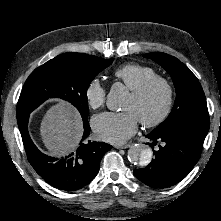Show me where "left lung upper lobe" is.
Instances as JSON below:
<instances>
[{
    "label": "left lung upper lobe",
    "instance_id": "left-lung-upper-lobe-1",
    "mask_svg": "<svg viewBox=\"0 0 221 221\" xmlns=\"http://www.w3.org/2000/svg\"><path fill=\"white\" fill-rule=\"evenodd\" d=\"M144 57L161 65L170 74L176 88L171 113L152 133L167 136L188 133L205 139L210 121L205 94L196 76L180 60L168 54L155 52Z\"/></svg>",
    "mask_w": 221,
    "mask_h": 221
}]
</instances>
